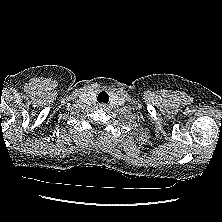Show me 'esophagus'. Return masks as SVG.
Masks as SVG:
<instances>
[{"label":"esophagus","instance_id":"obj_1","mask_svg":"<svg viewBox=\"0 0 222 222\" xmlns=\"http://www.w3.org/2000/svg\"><path fill=\"white\" fill-rule=\"evenodd\" d=\"M100 107H101V108H104V107H105V105H100Z\"/></svg>","mask_w":222,"mask_h":222}]
</instances>
